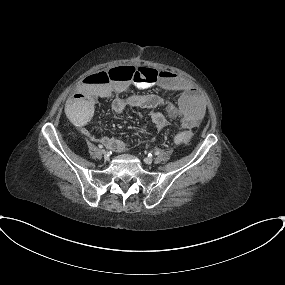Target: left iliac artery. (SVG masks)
I'll list each match as a JSON object with an SVG mask.
<instances>
[{
	"label": "left iliac artery",
	"instance_id": "1",
	"mask_svg": "<svg viewBox=\"0 0 285 285\" xmlns=\"http://www.w3.org/2000/svg\"><path fill=\"white\" fill-rule=\"evenodd\" d=\"M159 154H160V152H159V151H156V152H155V155H159Z\"/></svg>",
	"mask_w": 285,
	"mask_h": 285
}]
</instances>
